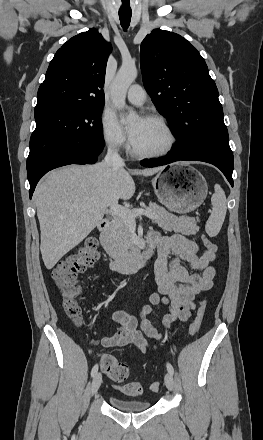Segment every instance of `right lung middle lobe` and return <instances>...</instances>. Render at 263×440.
<instances>
[{
  "label": "right lung middle lobe",
  "instance_id": "dd1d6c3e",
  "mask_svg": "<svg viewBox=\"0 0 263 440\" xmlns=\"http://www.w3.org/2000/svg\"><path fill=\"white\" fill-rule=\"evenodd\" d=\"M102 108L82 105L35 109L36 128L30 139L27 168L58 148L103 142Z\"/></svg>",
  "mask_w": 263,
  "mask_h": 440
}]
</instances>
